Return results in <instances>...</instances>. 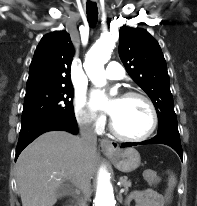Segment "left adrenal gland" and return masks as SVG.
<instances>
[{"mask_svg":"<svg viewBox=\"0 0 197 206\" xmlns=\"http://www.w3.org/2000/svg\"><path fill=\"white\" fill-rule=\"evenodd\" d=\"M119 201H120V203H122V195L121 194H119Z\"/></svg>","mask_w":197,"mask_h":206,"instance_id":"obj_1","label":"left adrenal gland"}]
</instances>
